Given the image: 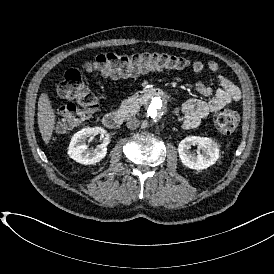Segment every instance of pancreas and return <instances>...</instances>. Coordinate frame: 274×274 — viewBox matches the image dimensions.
<instances>
[{
  "label": "pancreas",
  "instance_id": "1",
  "mask_svg": "<svg viewBox=\"0 0 274 274\" xmlns=\"http://www.w3.org/2000/svg\"><path fill=\"white\" fill-rule=\"evenodd\" d=\"M139 108L140 105L134 96L122 101L120 106V110L123 111L126 115H135L139 111Z\"/></svg>",
  "mask_w": 274,
  "mask_h": 274
}]
</instances>
